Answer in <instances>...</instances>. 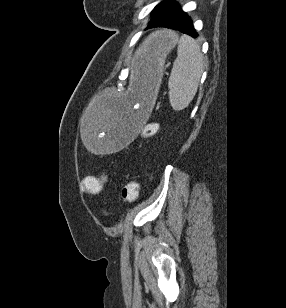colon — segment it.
Instances as JSON below:
<instances>
[{
	"instance_id": "colon-1",
	"label": "colon",
	"mask_w": 286,
	"mask_h": 308,
	"mask_svg": "<svg viewBox=\"0 0 286 308\" xmlns=\"http://www.w3.org/2000/svg\"><path fill=\"white\" fill-rule=\"evenodd\" d=\"M157 129V124H148L143 130V136L152 135ZM106 177L95 178V177H85L81 180L80 187L82 191L86 193H98L100 192L105 184ZM140 183L137 179L129 180L122 188V198L126 202H134L139 195Z\"/></svg>"
}]
</instances>
